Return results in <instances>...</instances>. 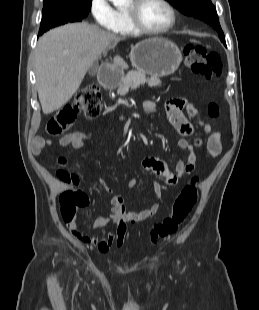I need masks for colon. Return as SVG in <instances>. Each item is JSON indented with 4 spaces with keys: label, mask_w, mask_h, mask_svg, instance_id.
<instances>
[{
    "label": "colon",
    "mask_w": 259,
    "mask_h": 310,
    "mask_svg": "<svg viewBox=\"0 0 259 310\" xmlns=\"http://www.w3.org/2000/svg\"><path fill=\"white\" fill-rule=\"evenodd\" d=\"M183 51L187 66L192 72L207 79L220 75L222 65L218 54L215 52L198 44H187ZM101 100V91L97 85L91 84L80 89L75 96L74 104L48 122V133L51 136L60 135L78 114H83L89 119L96 118L100 113ZM207 111L211 118H217L220 114L219 106L215 102L209 103ZM64 161V158L60 159V162ZM58 176L72 185H77L79 182L78 176L70 170H61L58 172ZM197 183L198 178L195 177L181 190L173 203L171 215L152 228L150 232L152 241L164 239L178 230L197 201ZM88 203V195L82 190L68 189L62 192L59 197V205L60 215L64 223L73 224L79 210L86 207Z\"/></svg>",
    "instance_id": "1"
}]
</instances>
